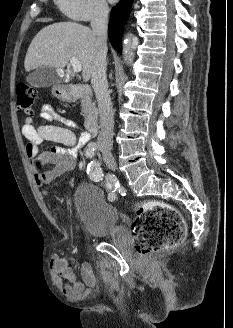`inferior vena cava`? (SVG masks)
Instances as JSON below:
<instances>
[{
    "instance_id": "inferior-vena-cava-1",
    "label": "inferior vena cava",
    "mask_w": 233,
    "mask_h": 328,
    "mask_svg": "<svg viewBox=\"0 0 233 328\" xmlns=\"http://www.w3.org/2000/svg\"><path fill=\"white\" fill-rule=\"evenodd\" d=\"M108 13L107 3L104 0H99L94 6L91 17V27L97 36L98 45L91 69V84L97 98L100 114V132L97 138V146L103 154H108L112 149L114 128V113L106 78Z\"/></svg>"
}]
</instances>
